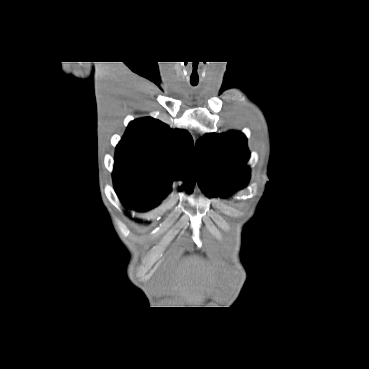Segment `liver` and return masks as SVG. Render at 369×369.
<instances>
[{"label":"liver","instance_id":"obj_1","mask_svg":"<svg viewBox=\"0 0 369 369\" xmlns=\"http://www.w3.org/2000/svg\"><path fill=\"white\" fill-rule=\"evenodd\" d=\"M184 276H175L172 279V285L174 290H180L184 284Z\"/></svg>","mask_w":369,"mask_h":369}]
</instances>
